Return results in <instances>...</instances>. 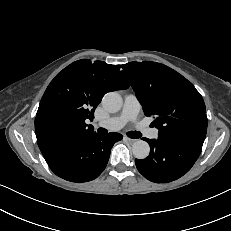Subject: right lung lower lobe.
<instances>
[{
	"label": "right lung lower lobe",
	"instance_id": "98d812e1",
	"mask_svg": "<svg viewBox=\"0 0 231 231\" xmlns=\"http://www.w3.org/2000/svg\"><path fill=\"white\" fill-rule=\"evenodd\" d=\"M122 139L119 133L106 136L93 134L85 139L65 143L42 153L50 169L71 182H88L105 169L114 143Z\"/></svg>",
	"mask_w": 231,
	"mask_h": 231
}]
</instances>
